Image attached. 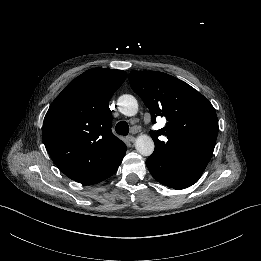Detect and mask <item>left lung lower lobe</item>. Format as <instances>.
Instances as JSON below:
<instances>
[{
  "instance_id": "left-lung-lower-lobe-1",
  "label": "left lung lower lobe",
  "mask_w": 261,
  "mask_h": 261,
  "mask_svg": "<svg viewBox=\"0 0 261 261\" xmlns=\"http://www.w3.org/2000/svg\"><path fill=\"white\" fill-rule=\"evenodd\" d=\"M146 165L159 183L176 190L196 183L205 170L203 167L170 161L155 154L149 156Z\"/></svg>"
}]
</instances>
